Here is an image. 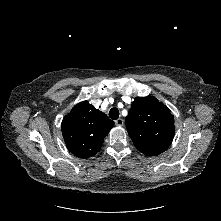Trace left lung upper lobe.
<instances>
[{
    "instance_id": "left-lung-upper-lobe-1",
    "label": "left lung upper lobe",
    "mask_w": 221,
    "mask_h": 221,
    "mask_svg": "<svg viewBox=\"0 0 221 221\" xmlns=\"http://www.w3.org/2000/svg\"><path fill=\"white\" fill-rule=\"evenodd\" d=\"M125 123L135 147L146 156L158 155L166 150L175 133L170 109L154 96L136 98Z\"/></svg>"
}]
</instances>
